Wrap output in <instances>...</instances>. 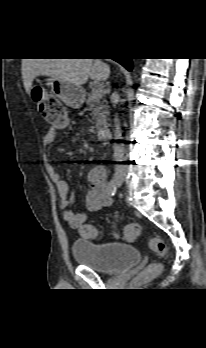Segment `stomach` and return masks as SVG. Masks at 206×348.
<instances>
[{"instance_id": "obj_1", "label": "stomach", "mask_w": 206, "mask_h": 348, "mask_svg": "<svg viewBox=\"0 0 206 348\" xmlns=\"http://www.w3.org/2000/svg\"><path fill=\"white\" fill-rule=\"evenodd\" d=\"M45 84L50 87L54 96L71 108H80L84 102V89L80 85L47 77Z\"/></svg>"}]
</instances>
